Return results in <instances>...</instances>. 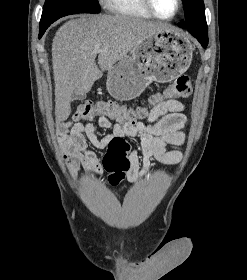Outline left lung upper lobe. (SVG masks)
I'll use <instances>...</instances> for the list:
<instances>
[{
  "mask_svg": "<svg viewBox=\"0 0 247 280\" xmlns=\"http://www.w3.org/2000/svg\"><path fill=\"white\" fill-rule=\"evenodd\" d=\"M183 3L185 19L180 24L187 30H194L208 37L203 0H183Z\"/></svg>",
  "mask_w": 247,
  "mask_h": 280,
  "instance_id": "obj_1",
  "label": "left lung upper lobe"
}]
</instances>
